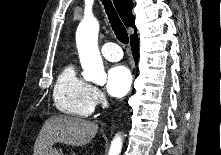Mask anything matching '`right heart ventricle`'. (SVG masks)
Returning <instances> with one entry per match:
<instances>
[{
	"mask_svg": "<svg viewBox=\"0 0 221 155\" xmlns=\"http://www.w3.org/2000/svg\"><path fill=\"white\" fill-rule=\"evenodd\" d=\"M91 85L81 78L74 65L65 66L58 75L53 99L56 108L62 113L87 117L93 109Z\"/></svg>",
	"mask_w": 221,
	"mask_h": 155,
	"instance_id": "1",
	"label": "right heart ventricle"
}]
</instances>
